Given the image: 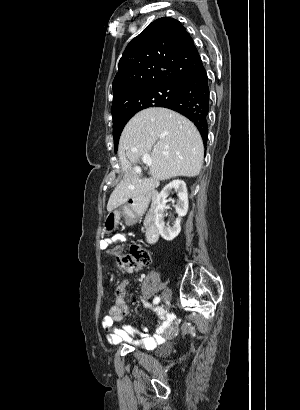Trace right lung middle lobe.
Masks as SVG:
<instances>
[{
    "label": "right lung middle lobe",
    "instance_id": "dd1d6c3e",
    "mask_svg": "<svg viewBox=\"0 0 300 410\" xmlns=\"http://www.w3.org/2000/svg\"><path fill=\"white\" fill-rule=\"evenodd\" d=\"M182 85H163L150 89H145L136 92L127 103V107L123 110V114L118 117H113V137L115 143V152L117 151L119 137L121 132L129 121L138 111L157 106L169 102L181 89Z\"/></svg>",
    "mask_w": 300,
    "mask_h": 410
}]
</instances>
